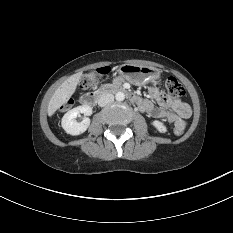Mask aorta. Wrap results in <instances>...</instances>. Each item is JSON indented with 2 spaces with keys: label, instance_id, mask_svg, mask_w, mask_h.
Wrapping results in <instances>:
<instances>
[{
  "label": "aorta",
  "instance_id": "obj_1",
  "mask_svg": "<svg viewBox=\"0 0 233 233\" xmlns=\"http://www.w3.org/2000/svg\"><path fill=\"white\" fill-rule=\"evenodd\" d=\"M115 98L117 101H123L125 99V94L123 92H117Z\"/></svg>",
  "mask_w": 233,
  "mask_h": 233
}]
</instances>
